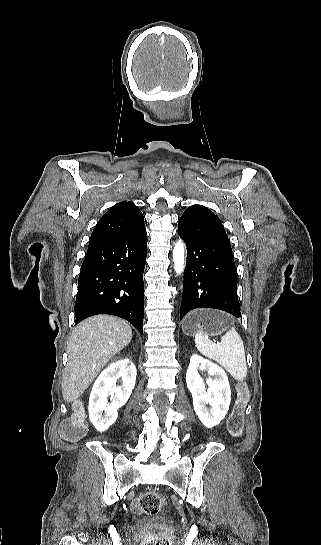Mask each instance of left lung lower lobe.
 <instances>
[{"label": "left lung lower lobe", "instance_id": "left-lung-lower-lobe-1", "mask_svg": "<svg viewBox=\"0 0 321 545\" xmlns=\"http://www.w3.org/2000/svg\"><path fill=\"white\" fill-rule=\"evenodd\" d=\"M178 233L188 251L180 320L196 308L240 317L237 269L221 220L206 207L192 205L179 219Z\"/></svg>", "mask_w": 321, "mask_h": 545}]
</instances>
